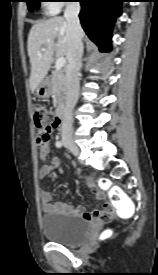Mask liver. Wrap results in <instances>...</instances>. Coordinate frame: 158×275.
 <instances>
[{"instance_id":"obj_1","label":"liver","mask_w":158,"mask_h":275,"mask_svg":"<svg viewBox=\"0 0 158 275\" xmlns=\"http://www.w3.org/2000/svg\"><path fill=\"white\" fill-rule=\"evenodd\" d=\"M27 49L31 63L30 88L34 92L47 75L53 56L67 55L66 19L53 17L35 23L28 35Z\"/></svg>"}]
</instances>
